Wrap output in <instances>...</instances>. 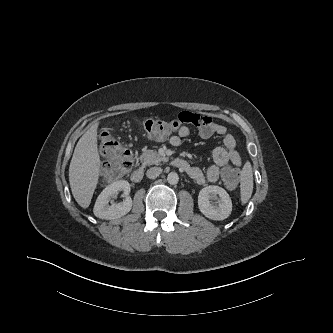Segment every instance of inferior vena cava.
<instances>
[{
    "label": "inferior vena cava",
    "instance_id": "inferior-vena-cava-1",
    "mask_svg": "<svg viewBox=\"0 0 333 333\" xmlns=\"http://www.w3.org/2000/svg\"><path fill=\"white\" fill-rule=\"evenodd\" d=\"M162 173V169L160 167H151L147 170L146 176L150 179L157 178Z\"/></svg>",
    "mask_w": 333,
    "mask_h": 333
}]
</instances>
